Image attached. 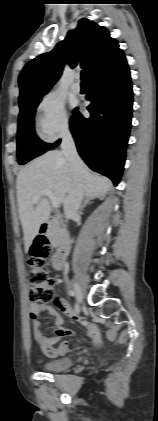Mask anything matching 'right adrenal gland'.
Segmentation results:
<instances>
[{"label": "right adrenal gland", "instance_id": "1", "mask_svg": "<svg viewBox=\"0 0 158 421\" xmlns=\"http://www.w3.org/2000/svg\"><path fill=\"white\" fill-rule=\"evenodd\" d=\"M88 203V199H86L83 204L81 205L80 209H83Z\"/></svg>", "mask_w": 158, "mask_h": 421}]
</instances>
